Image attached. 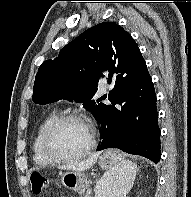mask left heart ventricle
I'll return each mask as SVG.
<instances>
[{
    "label": "left heart ventricle",
    "mask_w": 191,
    "mask_h": 197,
    "mask_svg": "<svg viewBox=\"0 0 191 197\" xmlns=\"http://www.w3.org/2000/svg\"><path fill=\"white\" fill-rule=\"evenodd\" d=\"M90 138V129L87 125L78 121H68L53 132L50 143L55 152L73 156L86 148Z\"/></svg>",
    "instance_id": "b2bd125f"
}]
</instances>
